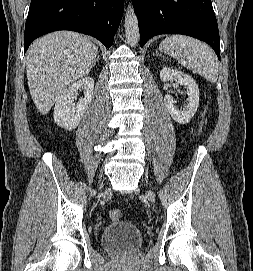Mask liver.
I'll return each mask as SVG.
<instances>
[{
    "instance_id": "obj_1",
    "label": "liver",
    "mask_w": 253,
    "mask_h": 271,
    "mask_svg": "<svg viewBox=\"0 0 253 271\" xmlns=\"http://www.w3.org/2000/svg\"><path fill=\"white\" fill-rule=\"evenodd\" d=\"M98 48L88 37L57 31L35 40L26 53V74L32 100L47 114L68 85L89 74Z\"/></svg>"
}]
</instances>
